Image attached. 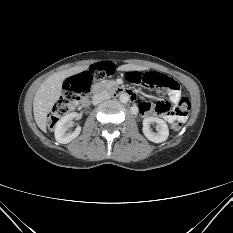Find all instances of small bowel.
Wrapping results in <instances>:
<instances>
[{
	"instance_id": "c3829d8e",
	"label": "small bowel",
	"mask_w": 233,
	"mask_h": 233,
	"mask_svg": "<svg viewBox=\"0 0 233 233\" xmlns=\"http://www.w3.org/2000/svg\"><path fill=\"white\" fill-rule=\"evenodd\" d=\"M175 87L168 89L169 97L171 102L176 106H171L168 103H159L161 106L157 107L156 104L143 103L138 107V111L143 116L158 115L165 119L167 122L171 123L174 120L184 121L186 116H181L176 112V107L180 100L182 99V93L179 85L174 81Z\"/></svg>"
}]
</instances>
